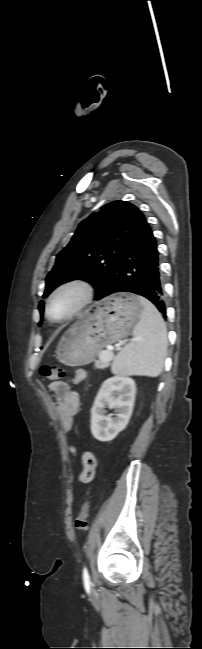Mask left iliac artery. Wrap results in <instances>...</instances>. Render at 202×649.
Segmentation results:
<instances>
[{
    "mask_svg": "<svg viewBox=\"0 0 202 649\" xmlns=\"http://www.w3.org/2000/svg\"><path fill=\"white\" fill-rule=\"evenodd\" d=\"M83 582H84V586H85L86 590H89L90 589V576H89V573H88V570H87L86 567L83 569Z\"/></svg>",
    "mask_w": 202,
    "mask_h": 649,
    "instance_id": "44dca946",
    "label": "left iliac artery"
}]
</instances>
